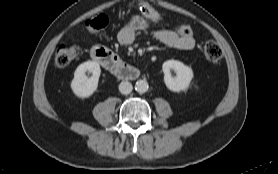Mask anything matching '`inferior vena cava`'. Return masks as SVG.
<instances>
[{
	"instance_id": "602c4592",
	"label": "inferior vena cava",
	"mask_w": 278,
	"mask_h": 174,
	"mask_svg": "<svg viewBox=\"0 0 278 174\" xmlns=\"http://www.w3.org/2000/svg\"><path fill=\"white\" fill-rule=\"evenodd\" d=\"M132 89H133V87L130 82L123 81L119 84V91L124 95L131 93Z\"/></svg>"
}]
</instances>
